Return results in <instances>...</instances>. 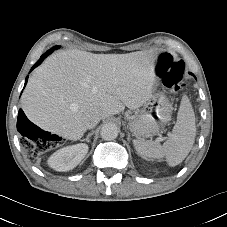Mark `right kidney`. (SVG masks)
Instances as JSON below:
<instances>
[{
  "instance_id": "obj_1",
  "label": "right kidney",
  "mask_w": 227,
  "mask_h": 227,
  "mask_svg": "<svg viewBox=\"0 0 227 227\" xmlns=\"http://www.w3.org/2000/svg\"><path fill=\"white\" fill-rule=\"evenodd\" d=\"M88 152V145L79 143L57 150L48 159V165L56 171H69L75 168Z\"/></svg>"
}]
</instances>
